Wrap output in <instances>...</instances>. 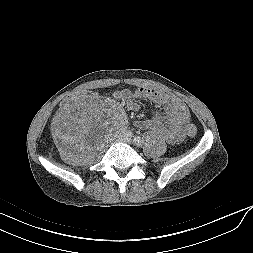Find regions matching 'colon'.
Wrapping results in <instances>:
<instances>
[{
  "mask_svg": "<svg viewBox=\"0 0 253 253\" xmlns=\"http://www.w3.org/2000/svg\"><path fill=\"white\" fill-rule=\"evenodd\" d=\"M94 96L93 90H80L72 94H69L67 98L60 103L62 111H67L78 99L80 98H92ZM186 132L189 136L193 137L197 134V128L195 125H188Z\"/></svg>",
  "mask_w": 253,
  "mask_h": 253,
  "instance_id": "obj_1",
  "label": "colon"
}]
</instances>
